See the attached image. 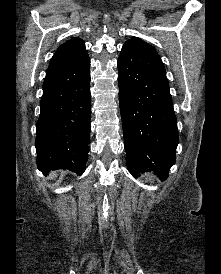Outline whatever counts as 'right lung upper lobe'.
<instances>
[{
  "mask_svg": "<svg viewBox=\"0 0 221 274\" xmlns=\"http://www.w3.org/2000/svg\"><path fill=\"white\" fill-rule=\"evenodd\" d=\"M88 59L84 41L80 38H72L56 50L50 61L46 77L80 65Z\"/></svg>",
  "mask_w": 221,
  "mask_h": 274,
  "instance_id": "right-lung-upper-lobe-1",
  "label": "right lung upper lobe"
}]
</instances>
